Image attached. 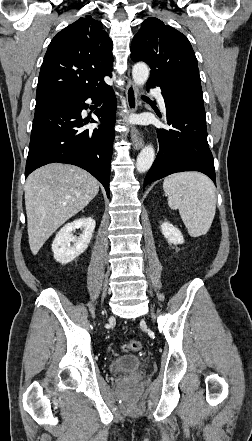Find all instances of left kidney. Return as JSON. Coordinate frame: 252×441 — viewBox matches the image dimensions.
Listing matches in <instances>:
<instances>
[{"instance_id": "obj_1", "label": "left kidney", "mask_w": 252, "mask_h": 441, "mask_svg": "<svg viewBox=\"0 0 252 441\" xmlns=\"http://www.w3.org/2000/svg\"><path fill=\"white\" fill-rule=\"evenodd\" d=\"M161 231L169 243L174 245L183 244L184 238L179 229L175 228L170 222L161 224Z\"/></svg>"}]
</instances>
